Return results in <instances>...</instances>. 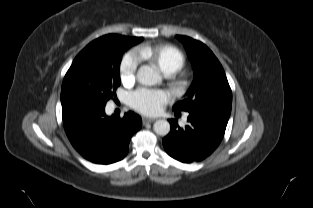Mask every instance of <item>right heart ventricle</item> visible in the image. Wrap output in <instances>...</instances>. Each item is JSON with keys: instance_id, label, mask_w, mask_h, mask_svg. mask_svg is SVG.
<instances>
[{"instance_id": "right-heart-ventricle-1", "label": "right heart ventricle", "mask_w": 313, "mask_h": 208, "mask_svg": "<svg viewBox=\"0 0 313 208\" xmlns=\"http://www.w3.org/2000/svg\"><path fill=\"white\" fill-rule=\"evenodd\" d=\"M137 55L154 64L166 75L176 73L185 63L182 52L167 44L143 45L137 50Z\"/></svg>"}]
</instances>
